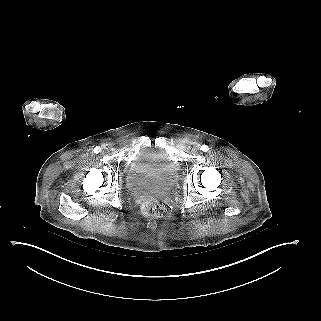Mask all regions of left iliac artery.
Wrapping results in <instances>:
<instances>
[{
    "label": "left iliac artery",
    "instance_id": "44dca946",
    "mask_svg": "<svg viewBox=\"0 0 321 321\" xmlns=\"http://www.w3.org/2000/svg\"><path fill=\"white\" fill-rule=\"evenodd\" d=\"M208 149H209V148H208V146H206V145H202V146H201V150L204 151V152H206Z\"/></svg>",
    "mask_w": 321,
    "mask_h": 321
}]
</instances>
